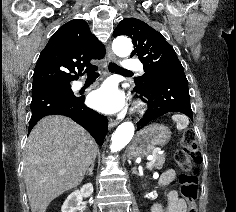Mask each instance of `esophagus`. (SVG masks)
I'll return each mask as SVG.
<instances>
[{
  "label": "esophagus",
  "instance_id": "esophagus-1",
  "mask_svg": "<svg viewBox=\"0 0 236 212\" xmlns=\"http://www.w3.org/2000/svg\"><path fill=\"white\" fill-rule=\"evenodd\" d=\"M107 54H108V59H109L110 61H115V60H116L115 55L112 53V51H111V49H110L109 47H108ZM117 124H118V121H116V120H110V121H109V128L111 129V128L115 127Z\"/></svg>",
  "mask_w": 236,
  "mask_h": 212
}]
</instances>
